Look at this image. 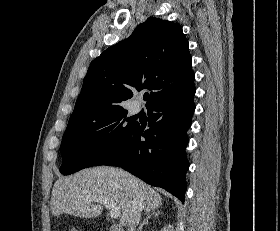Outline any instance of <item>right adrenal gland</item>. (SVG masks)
Listing matches in <instances>:
<instances>
[{"label": "right adrenal gland", "mask_w": 280, "mask_h": 231, "mask_svg": "<svg viewBox=\"0 0 280 231\" xmlns=\"http://www.w3.org/2000/svg\"><path fill=\"white\" fill-rule=\"evenodd\" d=\"M161 211H159V209H157V211H146V217L144 219V221H142V223H140L139 227H138V231H142L144 225H147V223H149V219L150 217H157V215H160Z\"/></svg>", "instance_id": "obj_1"}]
</instances>
